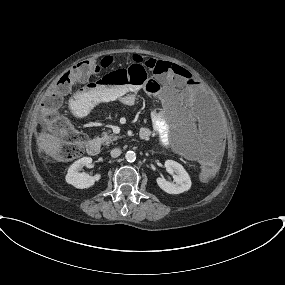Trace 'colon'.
<instances>
[{
    "mask_svg": "<svg viewBox=\"0 0 285 285\" xmlns=\"http://www.w3.org/2000/svg\"><path fill=\"white\" fill-rule=\"evenodd\" d=\"M111 61L108 58L100 62L85 60L63 74L44 94L39 102V115L41 118L58 125L67 141L62 145L57 157L60 160H71L82 155L86 136L77 131L72 124L60 118V110L65 95L71 87L82 82L94 81L101 71H105L99 78L104 86L125 85L132 82L134 86L144 87L145 91L156 96L159 91L157 81L147 80V71L155 74L160 80L179 79L184 77L185 71L179 65L167 61L147 59L144 61L129 60L125 67L110 71ZM217 173L215 162L202 161L200 164V177L208 181Z\"/></svg>",
    "mask_w": 285,
    "mask_h": 285,
    "instance_id": "colon-1",
    "label": "colon"
}]
</instances>
